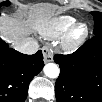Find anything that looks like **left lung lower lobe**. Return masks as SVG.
<instances>
[{"instance_id": "0a47b994", "label": "left lung lower lobe", "mask_w": 102, "mask_h": 102, "mask_svg": "<svg viewBox=\"0 0 102 102\" xmlns=\"http://www.w3.org/2000/svg\"><path fill=\"white\" fill-rule=\"evenodd\" d=\"M54 61L61 69L55 84L57 102L102 101V34L73 54L55 55Z\"/></svg>"}]
</instances>
